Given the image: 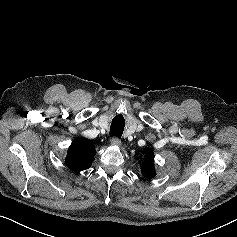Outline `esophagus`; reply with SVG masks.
Here are the masks:
<instances>
[{
  "label": "esophagus",
  "mask_w": 237,
  "mask_h": 237,
  "mask_svg": "<svg viewBox=\"0 0 237 237\" xmlns=\"http://www.w3.org/2000/svg\"><path fill=\"white\" fill-rule=\"evenodd\" d=\"M111 144L114 145V146H120L121 145V140L117 137H113L111 139Z\"/></svg>",
  "instance_id": "1"
}]
</instances>
